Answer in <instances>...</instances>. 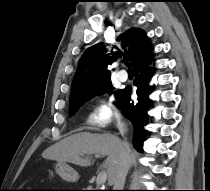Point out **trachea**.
I'll list each match as a JSON object with an SVG mask.
<instances>
[{
    "label": "trachea",
    "instance_id": "3493384b",
    "mask_svg": "<svg viewBox=\"0 0 210 191\" xmlns=\"http://www.w3.org/2000/svg\"><path fill=\"white\" fill-rule=\"evenodd\" d=\"M123 62H124L125 64H128V59L125 58V59L123 60ZM129 71H131V69H129Z\"/></svg>",
    "mask_w": 210,
    "mask_h": 191
}]
</instances>
